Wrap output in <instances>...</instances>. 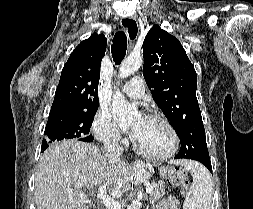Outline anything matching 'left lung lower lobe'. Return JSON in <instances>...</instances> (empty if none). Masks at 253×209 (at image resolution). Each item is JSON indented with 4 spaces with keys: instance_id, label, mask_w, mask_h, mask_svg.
I'll list each match as a JSON object with an SVG mask.
<instances>
[{
    "instance_id": "obj_1",
    "label": "left lung lower lobe",
    "mask_w": 253,
    "mask_h": 209,
    "mask_svg": "<svg viewBox=\"0 0 253 209\" xmlns=\"http://www.w3.org/2000/svg\"><path fill=\"white\" fill-rule=\"evenodd\" d=\"M175 158H177V157H175ZM193 160H197V161L201 162L202 164H204L207 167V169L210 172H212V166H211L210 158H208V157L207 158H197V159H193Z\"/></svg>"
}]
</instances>
